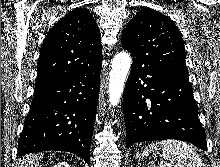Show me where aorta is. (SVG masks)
Instances as JSON below:
<instances>
[{
  "label": "aorta",
  "mask_w": 220,
  "mask_h": 167,
  "mask_svg": "<svg viewBox=\"0 0 220 167\" xmlns=\"http://www.w3.org/2000/svg\"><path fill=\"white\" fill-rule=\"evenodd\" d=\"M132 58L127 52L115 55L112 61V69L109 73V103L117 106L123 93L124 84L130 71Z\"/></svg>",
  "instance_id": "1"
}]
</instances>
